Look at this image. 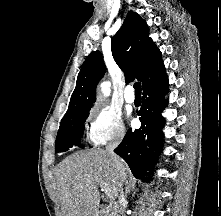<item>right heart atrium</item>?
<instances>
[{"label": "right heart atrium", "mask_w": 221, "mask_h": 216, "mask_svg": "<svg viewBox=\"0 0 221 216\" xmlns=\"http://www.w3.org/2000/svg\"><path fill=\"white\" fill-rule=\"evenodd\" d=\"M126 135L121 114L114 108L100 103L90 111L87 138L93 145L120 142Z\"/></svg>", "instance_id": "1"}]
</instances>
